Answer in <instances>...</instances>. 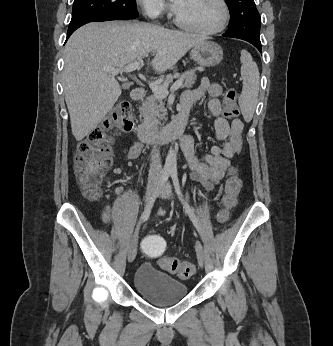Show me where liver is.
<instances>
[{
  "label": "liver",
  "mask_w": 333,
  "mask_h": 346,
  "mask_svg": "<svg viewBox=\"0 0 333 346\" xmlns=\"http://www.w3.org/2000/svg\"><path fill=\"white\" fill-rule=\"evenodd\" d=\"M204 37L146 23H89L77 29L64 50L63 88L72 133L89 135L121 95L114 75L105 68H124L150 53L155 73L171 69Z\"/></svg>",
  "instance_id": "1"
}]
</instances>
